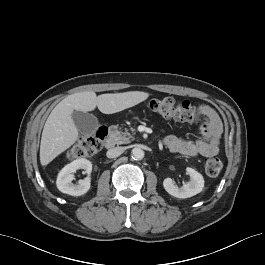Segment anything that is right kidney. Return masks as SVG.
I'll return each mask as SVG.
<instances>
[{"instance_id": "ca27d5eb", "label": "right kidney", "mask_w": 265, "mask_h": 265, "mask_svg": "<svg viewBox=\"0 0 265 265\" xmlns=\"http://www.w3.org/2000/svg\"><path fill=\"white\" fill-rule=\"evenodd\" d=\"M78 169H84L89 175L92 171V164L89 160L81 158L72 161L65 165L57 176L56 185L59 191L71 196H81L88 192L90 189V178L86 177L84 180H80L78 184H73V173Z\"/></svg>"}]
</instances>
